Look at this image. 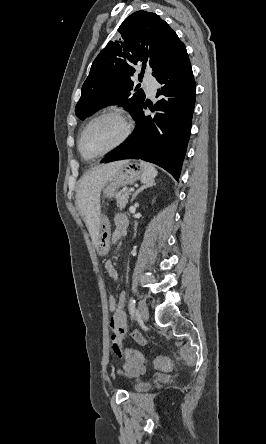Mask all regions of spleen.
Masks as SVG:
<instances>
[{
    "instance_id": "spleen-1",
    "label": "spleen",
    "mask_w": 266,
    "mask_h": 444,
    "mask_svg": "<svg viewBox=\"0 0 266 444\" xmlns=\"http://www.w3.org/2000/svg\"><path fill=\"white\" fill-rule=\"evenodd\" d=\"M140 165L144 170V176L142 177V181L149 182L153 180L154 177L157 175L156 168L152 164L143 161L140 162Z\"/></svg>"
}]
</instances>
